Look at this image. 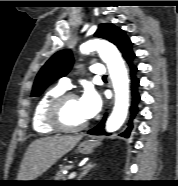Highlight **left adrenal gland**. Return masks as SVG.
I'll list each match as a JSON object with an SVG mask.
<instances>
[{"label": "left adrenal gland", "mask_w": 178, "mask_h": 186, "mask_svg": "<svg viewBox=\"0 0 178 186\" xmlns=\"http://www.w3.org/2000/svg\"><path fill=\"white\" fill-rule=\"evenodd\" d=\"M95 166L94 163L92 162H89L87 163L83 168H82V172L80 173L79 177H78V181H81V179L86 176L90 171L91 169H93Z\"/></svg>", "instance_id": "left-adrenal-gland-1"}]
</instances>
